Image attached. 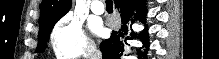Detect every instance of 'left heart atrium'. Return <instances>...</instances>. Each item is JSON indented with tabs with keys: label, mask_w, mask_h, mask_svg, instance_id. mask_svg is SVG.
Segmentation results:
<instances>
[{
	"label": "left heart atrium",
	"mask_w": 219,
	"mask_h": 59,
	"mask_svg": "<svg viewBox=\"0 0 219 59\" xmlns=\"http://www.w3.org/2000/svg\"><path fill=\"white\" fill-rule=\"evenodd\" d=\"M89 27L95 34L102 35L104 33V29L101 23L97 20L91 21Z\"/></svg>",
	"instance_id": "left-heart-atrium-1"
}]
</instances>
